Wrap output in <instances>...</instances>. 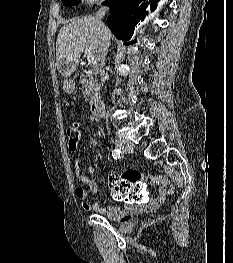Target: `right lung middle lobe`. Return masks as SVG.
Segmentation results:
<instances>
[{"label":"right lung middle lobe","instance_id":"1","mask_svg":"<svg viewBox=\"0 0 233 263\" xmlns=\"http://www.w3.org/2000/svg\"><path fill=\"white\" fill-rule=\"evenodd\" d=\"M81 0H62L63 4L66 6H72V5H77L80 3Z\"/></svg>","mask_w":233,"mask_h":263}]
</instances>
